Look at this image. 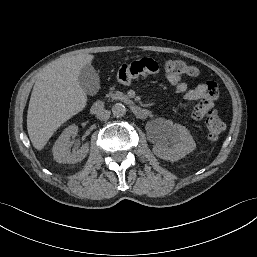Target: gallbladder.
<instances>
[{"label":"gallbladder","instance_id":"1","mask_svg":"<svg viewBox=\"0 0 257 257\" xmlns=\"http://www.w3.org/2000/svg\"><path fill=\"white\" fill-rule=\"evenodd\" d=\"M79 83L84 92L88 95H95L100 89V80L98 73L91 64L81 69L79 74Z\"/></svg>","mask_w":257,"mask_h":257}]
</instances>
